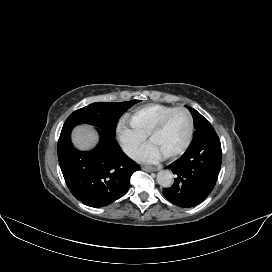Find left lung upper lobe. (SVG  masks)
<instances>
[{
  "mask_svg": "<svg viewBox=\"0 0 272 272\" xmlns=\"http://www.w3.org/2000/svg\"><path fill=\"white\" fill-rule=\"evenodd\" d=\"M186 108L189 109L193 116L195 128L190 146L217 135L212 125L198 111L189 106H186Z\"/></svg>",
  "mask_w": 272,
  "mask_h": 272,
  "instance_id": "left-lung-upper-lobe-1",
  "label": "left lung upper lobe"
}]
</instances>
